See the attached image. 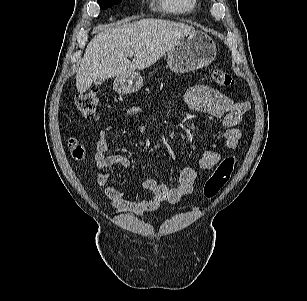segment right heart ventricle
<instances>
[{"instance_id": "e07e8e85", "label": "right heart ventricle", "mask_w": 307, "mask_h": 301, "mask_svg": "<svg viewBox=\"0 0 307 301\" xmlns=\"http://www.w3.org/2000/svg\"><path fill=\"white\" fill-rule=\"evenodd\" d=\"M198 5V0H160V7L172 13H186Z\"/></svg>"}]
</instances>
